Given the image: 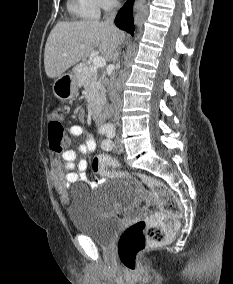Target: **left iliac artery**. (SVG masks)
I'll list each match as a JSON object with an SVG mask.
<instances>
[{
  "mask_svg": "<svg viewBox=\"0 0 233 284\" xmlns=\"http://www.w3.org/2000/svg\"><path fill=\"white\" fill-rule=\"evenodd\" d=\"M103 133L106 134L107 136V139L103 140L102 142V148L105 149V150H111L113 148V142H112V139L114 138L115 136V131L113 129H109V130H106L104 131Z\"/></svg>",
  "mask_w": 233,
  "mask_h": 284,
  "instance_id": "left-iliac-artery-1",
  "label": "left iliac artery"
}]
</instances>
